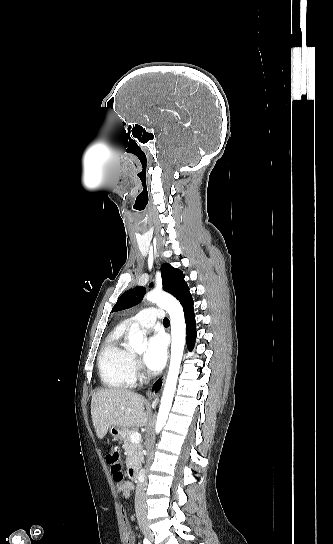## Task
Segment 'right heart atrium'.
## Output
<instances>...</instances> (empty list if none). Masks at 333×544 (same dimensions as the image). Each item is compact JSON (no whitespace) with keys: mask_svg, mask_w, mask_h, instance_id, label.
I'll use <instances>...</instances> for the list:
<instances>
[{"mask_svg":"<svg viewBox=\"0 0 333 544\" xmlns=\"http://www.w3.org/2000/svg\"><path fill=\"white\" fill-rule=\"evenodd\" d=\"M132 367H133L134 373H136L139 369L138 361L135 358H133Z\"/></svg>","mask_w":333,"mask_h":544,"instance_id":"obj_1","label":"right heart atrium"}]
</instances>
